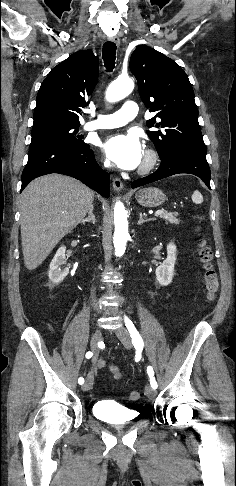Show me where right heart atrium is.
<instances>
[{"label":"right heart atrium","instance_id":"obj_1","mask_svg":"<svg viewBox=\"0 0 236 486\" xmlns=\"http://www.w3.org/2000/svg\"><path fill=\"white\" fill-rule=\"evenodd\" d=\"M103 166H104L105 168L109 167V162H108V161H104V162H103Z\"/></svg>","mask_w":236,"mask_h":486}]
</instances>
